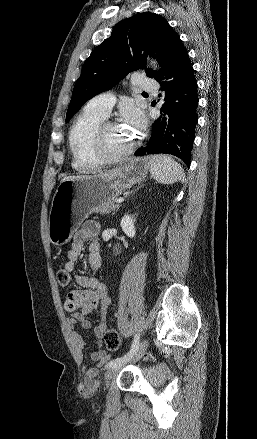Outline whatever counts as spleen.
Instances as JSON below:
<instances>
[{
  "instance_id": "obj_1",
  "label": "spleen",
  "mask_w": 257,
  "mask_h": 439,
  "mask_svg": "<svg viewBox=\"0 0 257 439\" xmlns=\"http://www.w3.org/2000/svg\"><path fill=\"white\" fill-rule=\"evenodd\" d=\"M150 174L156 182L173 184L184 182L185 173L182 166L167 155H155L150 159Z\"/></svg>"
}]
</instances>
